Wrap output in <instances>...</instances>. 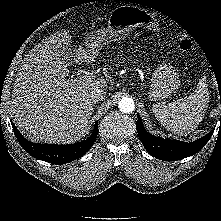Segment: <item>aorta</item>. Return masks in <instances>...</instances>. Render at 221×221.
<instances>
[{
	"label": "aorta",
	"instance_id": "762f6f07",
	"mask_svg": "<svg viewBox=\"0 0 221 221\" xmlns=\"http://www.w3.org/2000/svg\"><path fill=\"white\" fill-rule=\"evenodd\" d=\"M119 110L123 113H132L135 109V104L133 99L129 97H124L119 101Z\"/></svg>",
	"mask_w": 221,
	"mask_h": 221
}]
</instances>
